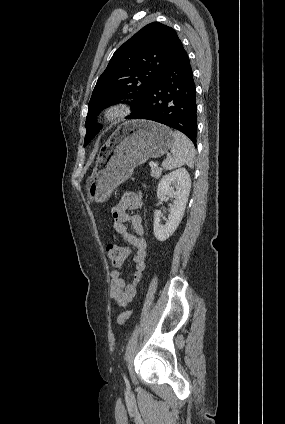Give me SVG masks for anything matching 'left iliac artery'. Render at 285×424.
Here are the masks:
<instances>
[{"mask_svg": "<svg viewBox=\"0 0 285 424\" xmlns=\"http://www.w3.org/2000/svg\"><path fill=\"white\" fill-rule=\"evenodd\" d=\"M124 379H125V376H124ZM125 382H127V380L125 379Z\"/></svg>", "mask_w": 285, "mask_h": 424, "instance_id": "obj_1", "label": "left iliac artery"}]
</instances>
